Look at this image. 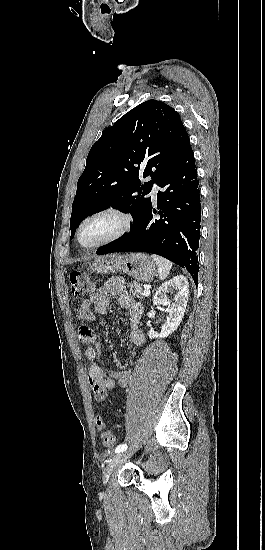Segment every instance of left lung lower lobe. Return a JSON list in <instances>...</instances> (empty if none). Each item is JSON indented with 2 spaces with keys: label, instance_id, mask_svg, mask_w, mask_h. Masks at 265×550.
Returning <instances> with one entry per match:
<instances>
[{
  "label": "left lung lower lobe",
  "instance_id": "1",
  "mask_svg": "<svg viewBox=\"0 0 265 550\" xmlns=\"http://www.w3.org/2000/svg\"><path fill=\"white\" fill-rule=\"evenodd\" d=\"M157 208L152 204L138 223L121 239L98 249L97 254L144 251L161 255L185 267L198 280L197 249L200 240V190L194 153L189 144L171 164L158 184Z\"/></svg>",
  "mask_w": 265,
  "mask_h": 550
}]
</instances>
